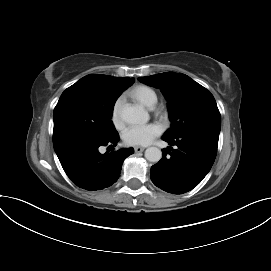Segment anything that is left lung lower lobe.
I'll return each instance as SVG.
<instances>
[{"mask_svg":"<svg viewBox=\"0 0 271 271\" xmlns=\"http://www.w3.org/2000/svg\"><path fill=\"white\" fill-rule=\"evenodd\" d=\"M162 139L177 148L164 149L163 158L151 167L152 182L173 194L192 190L203 180L214 163L219 132L196 131Z\"/></svg>","mask_w":271,"mask_h":271,"instance_id":"1","label":"left lung lower lobe"}]
</instances>
